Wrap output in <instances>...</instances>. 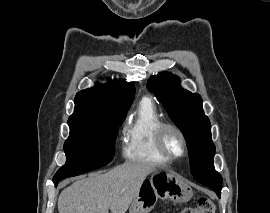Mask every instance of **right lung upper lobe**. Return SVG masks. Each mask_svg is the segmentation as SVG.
Here are the masks:
<instances>
[{"label": "right lung upper lobe", "mask_w": 270, "mask_h": 213, "mask_svg": "<svg viewBox=\"0 0 270 213\" xmlns=\"http://www.w3.org/2000/svg\"><path fill=\"white\" fill-rule=\"evenodd\" d=\"M135 94V87L125 80L108 79V84L77 93L74 113L69 120L104 119L126 113Z\"/></svg>", "instance_id": "1"}]
</instances>
